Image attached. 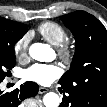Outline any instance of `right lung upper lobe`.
<instances>
[{
  "mask_svg": "<svg viewBox=\"0 0 107 107\" xmlns=\"http://www.w3.org/2000/svg\"><path fill=\"white\" fill-rule=\"evenodd\" d=\"M11 20L0 17V45L10 43L12 35L9 29Z\"/></svg>",
  "mask_w": 107,
  "mask_h": 107,
  "instance_id": "1",
  "label": "right lung upper lobe"
}]
</instances>
